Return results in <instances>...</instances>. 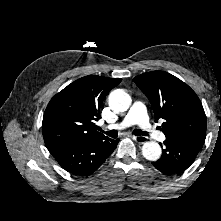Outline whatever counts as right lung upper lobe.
I'll list each match as a JSON object with an SVG mask.
<instances>
[{
  "mask_svg": "<svg viewBox=\"0 0 221 221\" xmlns=\"http://www.w3.org/2000/svg\"><path fill=\"white\" fill-rule=\"evenodd\" d=\"M121 79L98 75L82 77L49 102L43 116L42 133L47 148L105 137L96 130L100 107Z\"/></svg>",
  "mask_w": 221,
  "mask_h": 221,
  "instance_id": "1",
  "label": "right lung upper lobe"
}]
</instances>
